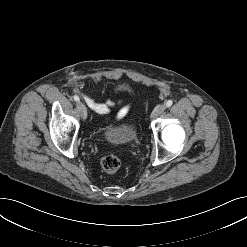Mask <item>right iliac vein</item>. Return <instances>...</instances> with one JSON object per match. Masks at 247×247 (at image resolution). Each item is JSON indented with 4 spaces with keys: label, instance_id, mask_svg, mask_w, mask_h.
Returning a JSON list of instances; mask_svg holds the SVG:
<instances>
[{
    "label": "right iliac vein",
    "instance_id": "right-iliac-vein-1",
    "mask_svg": "<svg viewBox=\"0 0 247 247\" xmlns=\"http://www.w3.org/2000/svg\"><path fill=\"white\" fill-rule=\"evenodd\" d=\"M77 107L81 113V116L83 119H86L87 117V109L86 106L82 102H78Z\"/></svg>",
    "mask_w": 247,
    "mask_h": 247
}]
</instances>
